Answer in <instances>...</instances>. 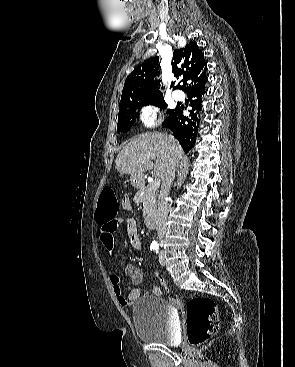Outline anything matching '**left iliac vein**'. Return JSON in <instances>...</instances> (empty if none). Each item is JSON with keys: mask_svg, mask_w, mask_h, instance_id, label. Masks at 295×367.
<instances>
[{"mask_svg": "<svg viewBox=\"0 0 295 367\" xmlns=\"http://www.w3.org/2000/svg\"><path fill=\"white\" fill-rule=\"evenodd\" d=\"M159 263L161 265H164L166 263L165 254L163 251H161L159 254Z\"/></svg>", "mask_w": 295, "mask_h": 367, "instance_id": "4c4485c4", "label": "left iliac vein"}]
</instances>
